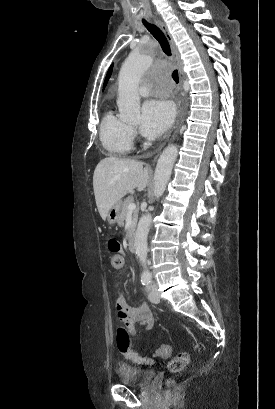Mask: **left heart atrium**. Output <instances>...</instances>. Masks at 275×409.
Returning <instances> with one entry per match:
<instances>
[{
  "label": "left heart atrium",
  "instance_id": "left-heart-atrium-1",
  "mask_svg": "<svg viewBox=\"0 0 275 409\" xmlns=\"http://www.w3.org/2000/svg\"><path fill=\"white\" fill-rule=\"evenodd\" d=\"M174 109L170 102L149 100L142 109L141 132L148 137L160 136L172 123Z\"/></svg>",
  "mask_w": 275,
  "mask_h": 409
}]
</instances>
